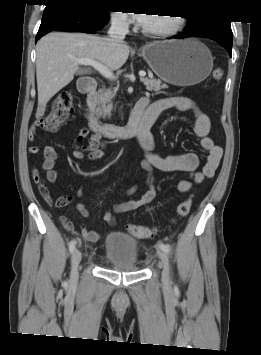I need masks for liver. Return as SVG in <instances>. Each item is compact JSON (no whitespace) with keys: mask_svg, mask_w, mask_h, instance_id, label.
<instances>
[{"mask_svg":"<svg viewBox=\"0 0 261 355\" xmlns=\"http://www.w3.org/2000/svg\"><path fill=\"white\" fill-rule=\"evenodd\" d=\"M129 56V46H113L108 38L84 33L52 32L42 37L36 46V77L38 88L37 117L44 115L46 104L74 75L90 73L80 68L76 58L92 59L109 70L120 69Z\"/></svg>","mask_w":261,"mask_h":355,"instance_id":"liver-1","label":"liver"}]
</instances>
